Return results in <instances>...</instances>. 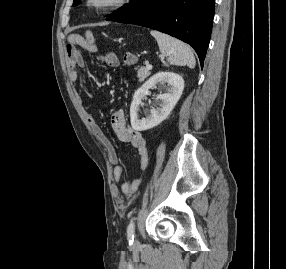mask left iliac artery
<instances>
[{"label":"left iliac artery","mask_w":286,"mask_h":269,"mask_svg":"<svg viewBox=\"0 0 286 269\" xmlns=\"http://www.w3.org/2000/svg\"><path fill=\"white\" fill-rule=\"evenodd\" d=\"M127 237L129 244H132L134 241V221L131 220L127 227Z\"/></svg>","instance_id":"44dca946"}]
</instances>
